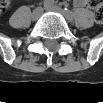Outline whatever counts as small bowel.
<instances>
[{
  "mask_svg": "<svg viewBox=\"0 0 103 103\" xmlns=\"http://www.w3.org/2000/svg\"><path fill=\"white\" fill-rule=\"evenodd\" d=\"M74 5L76 7H87L88 6L87 2L84 0H76V1H74Z\"/></svg>",
  "mask_w": 103,
  "mask_h": 103,
  "instance_id": "c3829d8e",
  "label": "small bowel"
}]
</instances>
